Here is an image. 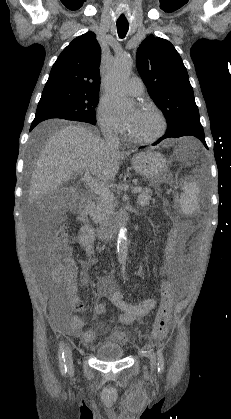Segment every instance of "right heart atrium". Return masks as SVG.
Here are the masks:
<instances>
[{
  "instance_id": "1",
  "label": "right heart atrium",
  "mask_w": 231,
  "mask_h": 419,
  "mask_svg": "<svg viewBox=\"0 0 231 419\" xmlns=\"http://www.w3.org/2000/svg\"><path fill=\"white\" fill-rule=\"evenodd\" d=\"M98 124L107 136H121L124 133V124L117 117L111 104L106 99H100L96 108Z\"/></svg>"
}]
</instances>
